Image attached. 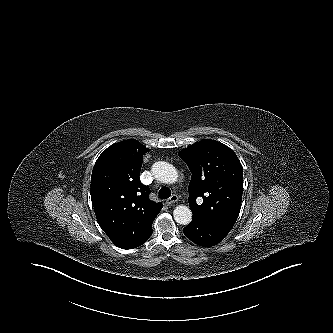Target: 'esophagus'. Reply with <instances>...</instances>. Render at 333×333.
Masks as SVG:
<instances>
[{
  "label": "esophagus",
  "mask_w": 333,
  "mask_h": 333,
  "mask_svg": "<svg viewBox=\"0 0 333 333\" xmlns=\"http://www.w3.org/2000/svg\"><path fill=\"white\" fill-rule=\"evenodd\" d=\"M177 200H178V196L174 194L169 199H167L165 203H166V205H172L175 202H177Z\"/></svg>",
  "instance_id": "esophagus-1"
}]
</instances>
